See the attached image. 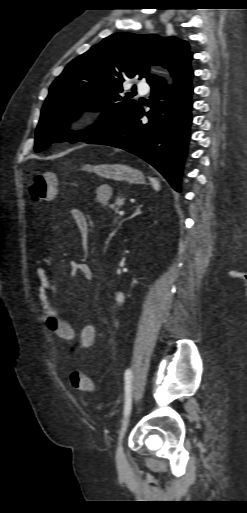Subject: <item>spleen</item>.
Listing matches in <instances>:
<instances>
[{"label": "spleen", "instance_id": "obj_1", "mask_svg": "<svg viewBox=\"0 0 247 513\" xmlns=\"http://www.w3.org/2000/svg\"><path fill=\"white\" fill-rule=\"evenodd\" d=\"M152 186L154 187L155 190H160V183L158 180L156 179H152Z\"/></svg>", "mask_w": 247, "mask_h": 513}]
</instances>
